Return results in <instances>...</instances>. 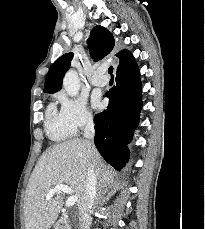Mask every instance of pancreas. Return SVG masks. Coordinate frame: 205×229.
I'll use <instances>...</instances> for the list:
<instances>
[{
	"instance_id": "1",
	"label": "pancreas",
	"mask_w": 205,
	"mask_h": 229,
	"mask_svg": "<svg viewBox=\"0 0 205 229\" xmlns=\"http://www.w3.org/2000/svg\"><path fill=\"white\" fill-rule=\"evenodd\" d=\"M55 229H70V225L66 217H61L55 225Z\"/></svg>"
}]
</instances>
